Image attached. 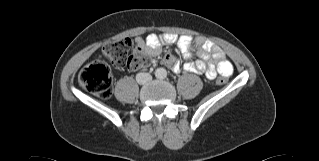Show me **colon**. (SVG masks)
<instances>
[{
    "label": "colon",
    "instance_id": "colon-1",
    "mask_svg": "<svg viewBox=\"0 0 319 161\" xmlns=\"http://www.w3.org/2000/svg\"><path fill=\"white\" fill-rule=\"evenodd\" d=\"M103 54L118 68L138 70L147 67L152 60L145 49L133 43L129 38H121L105 43ZM225 78L220 77L218 84H224ZM79 84L89 92L106 98L112 93V75L110 68L99 59L86 64L79 73Z\"/></svg>",
    "mask_w": 319,
    "mask_h": 161
}]
</instances>
